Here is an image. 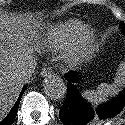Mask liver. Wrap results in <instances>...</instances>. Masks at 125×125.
<instances>
[{
  "mask_svg": "<svg viewBox=\"0 0 125 125\" xmlns=\"http://www.w3.org/2000/svg\"><path fill=\"white\" fill-rule=\"evenodd\" d=\"M11 28V22L0 17V120L15 102L24 83L18 75L24 67L25 55L12 42Z\"/></svg>",
  "mask_w": 125,
  "mask_h": 125,
  "instance_id": "6515ba94",
  "label": "liver"
}]
</instances>
